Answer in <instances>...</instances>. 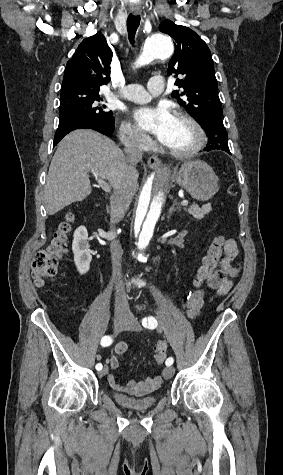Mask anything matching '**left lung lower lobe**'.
I'll list each match as a JSON object with an SVG mask.
<instances>
[{
	"mask_svg": "<svg viewBox=\"0 0 283 475\" xmlns=\"http://www.w3.org/2000/svg\"><path fill=\"white\" fill-rule=\"evenodd\" d=\"M202 128L209 137V144L204 148L205 151L221 150L230 154L227 143V131L223 125L222 118L206 120L204 121Z\"/></svg>",
	"mask_w": 283,
	"mask_h": 475,
	"instance_id": "0a47b994",
	"label": "left lung lower lobe"
}]
</instances>
